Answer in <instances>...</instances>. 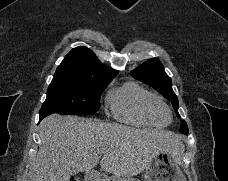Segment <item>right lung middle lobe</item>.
<instances>
[{
  "label": "right lung middle lobe",
  "instance_id": "obj_1",
  "mask_svg": "<svg viewBox=\"0 0 228 181\" xmlns=\"http://www.w3.org/2000/svg\"><path fill=\"white\" fill-rule=\"evenodd\" d=\"M108 81L86 83L51 82L47 98L40 109V119L51 113L90 115L100 108V96Z\"/></svg>",
  "mask_w": 228,
  "mask_h": 181
}]
</instances>
